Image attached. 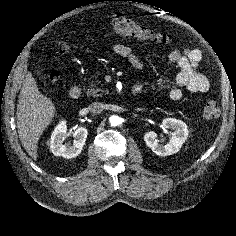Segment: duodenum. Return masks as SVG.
Returning a JSON list of instances; mask_svg holds the SVG:
<instances>
[{
  "instance_id": "410a0bca",
  "label": "duodenum",
  "mask_w": 236,
  "mask_h": 236,
  "mask_svg": "<svg viewBox=\"0 0 236 236\" xmlns=\"http://www.w3.org/2000/svg\"><path fill=\"white\" fill-rule=\"evenodd\" d=\"M133 94H137L136 91L133 90ZM81 95H82V91H81L80 87H78V86L72 87L69 91V96L72 99H75V100L79 99L81 97Z\"/></svg>"
}]
</instances>
